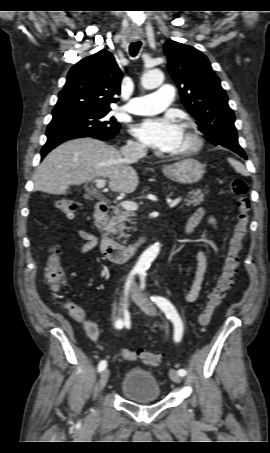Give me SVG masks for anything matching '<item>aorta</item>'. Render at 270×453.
I'll return each mask as SVG.
<instances>
[{
    "label": "aorta",
    "mask_w": 270,
    "mask_h": 453,
    "mask_svg": "<svg viewBox=\"0 0 270 453\" xmlns=\"http://www.w3.org/2000/svg\"><path fill=\"white\" fill-rule=\"evenodd\" d=\"M164 80V75L159 69H153L146 72L141 79V84L145 89H154L159 87ZM160 251V245L158 243L150 246L144 253L140 256L136 267L138 269L144 270L153 262L157 257Z\"/></svg>",
    "instance_id": "762f6f07"
}]
</instances>
